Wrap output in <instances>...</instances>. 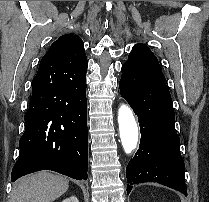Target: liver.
I'll return each instance as SVG.
<instances>
[{
	"mask_svg": "<svg viewBox=\"0 0 209 202\" xmlns=\"http://www.w3.org/2000/svg\"><path fill=\"white\" fill-rule=\"evenodd\" d=\"M68 187L69 181L66 177L39 172L15 183L10 202H52L63 195Z\"/></svg>",
	"mask_w": 209,
	"mask_h": 202,
	"instance_id": "liver-1",
	"label": "liver"
}]
</instances>
